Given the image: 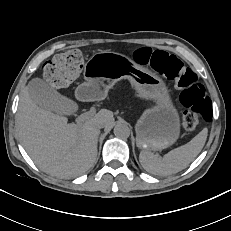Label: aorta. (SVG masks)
<instances>
[{
	"instance_id": "obj_1",
	"label": "aorta",
	"mask_w": 231,
	"mask_h": 231,
	"mask_svg": "<svg viewBox=\"0 0 231 231\" xmlns=\"http://www.w3.org/2000/svg\"><path fill=\"white\" fill-rule=\"evenodd\" d=\"M114 134L121 139H127L130 136V129L126 124H117L114 128Z\"/></svg>"
}]
</instances>
